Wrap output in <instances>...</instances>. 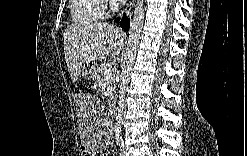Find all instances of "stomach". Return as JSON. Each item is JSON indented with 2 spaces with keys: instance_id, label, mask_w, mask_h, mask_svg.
I'll use <instances>...</instances> for the list:
<instances>
[{
  "instance_id": "obj_1",
  "label": "stomach",
  "mask_w": 247,
  "mask_h": 156,
  "mask_svg": "<svg viewBox=\"0 0 247 156\" xmlns=\"http://www.w3.org/2000/svg\"><path fill=\"white\" fill-rule=\"evenodd\" d=\"M81 71H82V76H84V77H86L90 74L91 77L93 79H95L97 76V66L96 65H93L90 67V65L88 63H84L82 68H81Z\"/></svg>"
}]
</instances>
